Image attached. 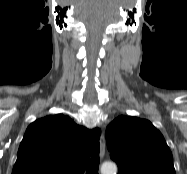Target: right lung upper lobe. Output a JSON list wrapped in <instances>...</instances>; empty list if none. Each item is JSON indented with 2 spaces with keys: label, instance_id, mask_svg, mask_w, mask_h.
<instances>
[{
  "label": "right lung upper lobe",
  "instance_id": "cb5924a9",
  "mask_svg": "<svg viewBox=\"0 0 187 174\" xmlns=\"http://www.w3.org/2000/svg\"><path fill=\"white\" fill-rule=\"evenodd\" d=\"M100 134L62 114L36 120L25 132L12 174H83L89 157L99 153Z\"/></svg>",
  "mask_w": 187,
  "mask_h": 174
}]
</instances>
